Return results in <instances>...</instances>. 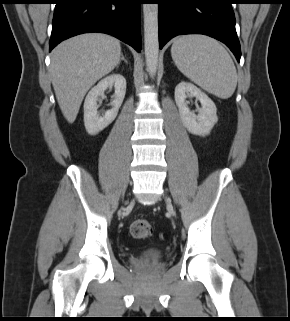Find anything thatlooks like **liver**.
I'll return each instance as SVG.
<instances>
[{
    "label": "liver",
    "mask_w": 290,
    "mask_h": 321,
    "mask_svg": "<svg viewBox=\"0 0 290 321\" xmlns=\"http://www.w3.org/2000/svg\"><path fill=\"white\" fill-rule=\"evenodd\" d=\"M120 56V42L102 33L72 37L52 51V85L69 123L75 121L87 91L118 65Z\"/></svg>",
    "instance_id": "liver-1"
}]
</instances>
